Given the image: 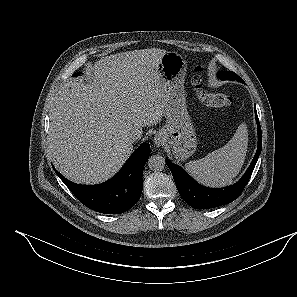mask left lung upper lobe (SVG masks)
Returning a JSON list of instances; mask_svg holds the SVG:
<instances>
[{"label":"left lung upper lobe","mask_w":297,"mask_h":297,"mask_svg":"<svg viewBox=\"0 0 297 297\" xmlns=\"http://www.w3.org/2000/svg\"><path fill=\"white\" fill-rule=\"evenodd\" d=\"M218 77L222 80L230 79V80H236L239 82L244 83L241 77H239L236 73L232 71H220L218 73Z\"/></svg>","instance_id":"1"}]
</instances>
